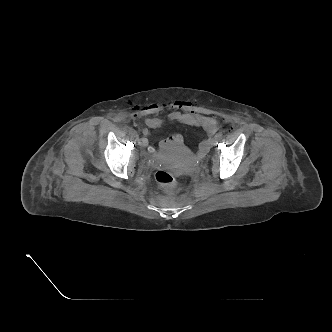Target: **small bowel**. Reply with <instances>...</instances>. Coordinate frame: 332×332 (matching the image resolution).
Segmentation results:
<instances>
[{"label": "small bowel", "mask_w": 332, "mask_h": 332, "mask_svg": "<svg viewBox=\"0 0 332 332\" xmlns=\"http://www.w3.org/2000/svg\"><path fill=\"white\" fill-rule=\"evenodd\" d=\"M164 109H171L172 111L168 114L166 119L151 117L145 120V126L142 128V133L144 135L141 138L139 144L142 147H148L151 129H156L162 127L167 121L177 122L185 125H192L202 128L207 138L201 141L199 145L200 153H205L210 144L211 137L217 132L220 122L214 117L206 116L204 114L198 113L191 110L186 102L183 101H171L164 104H152L145 108L147 114H156ZM182 137L178 134L171 136L168 139L162 140L159 143L161 148H166L171 144H181ZM152 151V148H149Z\"/></svg>", "instance_id": "1"}]
</instances>
